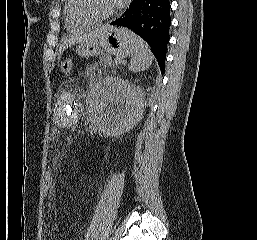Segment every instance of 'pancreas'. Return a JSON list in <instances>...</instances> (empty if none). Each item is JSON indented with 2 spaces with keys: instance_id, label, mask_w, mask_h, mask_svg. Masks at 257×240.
<instances>
[{
  "instance_id": "cf45deb5",
  "label": "pancreas",
  "mask_w": 257,
  "mask_h": 240,
  "mask_svg": "<svg viewBox=\"0 0 257 240\" xmlns=\"http://www.w3.org/2000/svg\"><path fill=\"white\" fill-rule=\"evenodd\" d=\"M100 63L103 65V66H108V67H115L117 64L115 63V61L112 60V57L109 55V54H106V53H102L100 55Z\"/></svg>"
}]
</instances>
